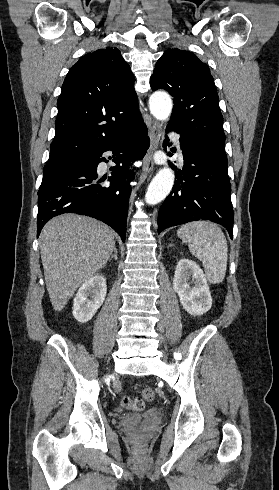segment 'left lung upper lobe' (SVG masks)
I'll use <instances>...</instances> for the list:
<instances>
[{"label": "left lung upper lobe", "mask_w": 279, "mask_h": 490, "mask_svg": "<svg viewBox=\"0 0 279 490\" xmlns=\"http://www.w3.org/2000/svg\"><path fill=\"white\" fill-rule=\"evenodd\" d=\"M150 85L152 90L164 89L174 97L169 124L224 146L216 86L209 67L193 53L177 48L165 51L156 63Z\"/></svg>", "instance_id": "1"}]
</instances>
